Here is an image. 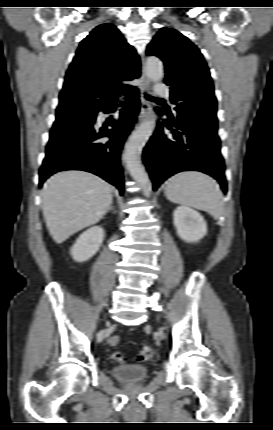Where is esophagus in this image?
I'll list each match as a JSON object with an SVG mask.
<instances>
[{
	"label": "esophagus",
	"instance_id": "1",
	"mask_svg": "<svg viewBox=\"0 0 273 430\" xmlns=\"http://www.w3.org/2000/svg\"><path fill=\"white\" fill-rule=\"evenodd\" d=\"M149 91V79L147 78L145 72H142V82H141V109L139 119L144 120L149 117L151 112V105L149 101L144 97V93Z\"/></svg>",
	"mask_w": 273,
	"mask_h": 430
}]
</instances>
